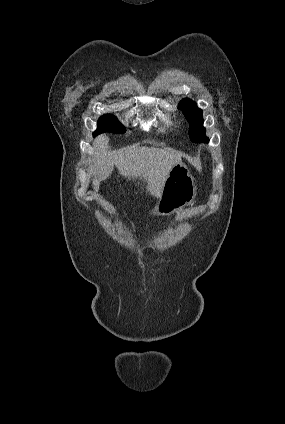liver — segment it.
Here are the masks:
<instances>
[{
    "label": "liver",
    "mask_w": 285,
    "mask_h": 424,
    "mask_svg": "<svg viewBox=\"0 0 285 424\" xmlns=\"http://www.w3.org/2000/svg\"><path fill=\"white\" fill-rule=\"evenodd\" d=\"M108 137L100 135L93 143L97 155L89 172L95 177L92 187L99 190L100 182L106 179L115 165L120 175L128 180L140 179L147 182V192L159 198L172 167L181 160V154L174 149L128 146L108 152Z\"/></svg>",
    "instance_id": "6515ba94"
}]
</instances>
